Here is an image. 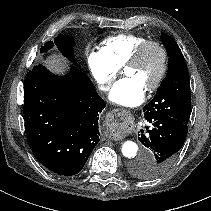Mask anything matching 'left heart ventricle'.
<instances>
[{
  "mask_svg": "<svg viewBox=\"0 0 211 211\" xmlns=\"http://www.w3.org/2000/svg\"><path fill=\"white\" fill-rule=\"evenodd\" d=\"M161 66V55L155 48L148 49L140 61L124 69V75L137 79L147 89L157 78Z\"/></svg>",
  "mask_w": 211,
  "mask_h": 211,
  "instance_id": "obj_1",
  "label": "left heart ventricle"
}]
</instances>
